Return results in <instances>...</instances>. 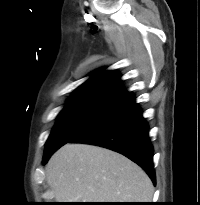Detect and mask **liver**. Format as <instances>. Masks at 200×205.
I'll list each match as a JSON object with an SVG mask.
<instances>
[{
  "instance_id": "6515ba94",
  "label": "liver",
  "mask_w": 200,
  "mask_h": 205,
  "mask_svg": "<svg viewBox=\"0 0 200 205\" xmlns=\"http://www.w3.org/2000/svg\"><path fill=\"white\" fill-rule=\"evenodd\" d=\"M46 178L58 202H151L147 174L114 151L87 144L61 147L46 165Z\"/></svg>"
}]
</instances>
